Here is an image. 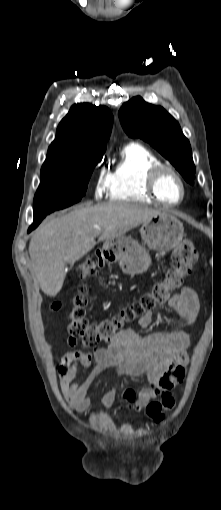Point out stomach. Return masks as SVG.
<instances>
[{
    "label": "stomach",
    "mask_w": 221,
    "mask_h": 510,
    "mask_svg": "<svg viewBox=\"0 0 221 510\" xmlns=\"http://www.w3.org/2000/svg\"><path fill=\"white\" fill-rule=\"evenodd\" d=\"M140 233L144 244L149 249L167 252L182 241L184 227L174 215L160 213L144 222ZM103 249L108 260L118 261L124 274H141L151 264L148 251L131 237L119 236L108 239L104 243Z\"/></svg>",
    "instance_id": "0dacf381"
}]
</instances>
